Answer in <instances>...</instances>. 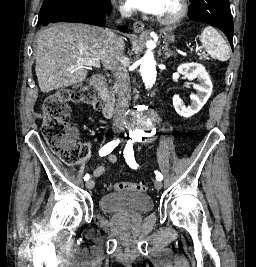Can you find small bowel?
Returning <instances> with one entry per match:
<instances>
[{"label": "small bowel", "instance_id": "c3829d8e", "mask_svg": "<svg viewBox=\"0 0 256 267\" xmlns=\"http://www.w3.org/2000/svg\"><path fill=\"white\" fill-rule=\"evenodd\" d=\"M116 162H117V156L115 154H109L107 156L106 163L98 166L94 170V172H93L94 177L103 178L107 174V172L109 170V166L112 164H115Z\"/></svg>", "mask_w": 256, "mask_h": 267}]
</instances>
